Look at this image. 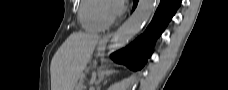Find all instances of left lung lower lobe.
Instances as JSON below:
<instances>
[{
	"label": "left lung lower lobe",
	"mask_w": 228,
	"mask_h": 90,
	"mask_svg": "<svg viewBox=\"0 0 228 90\" xmlns=\"http://www.w3.org/2000/svg\"><path fill=\"white\" fill-rule=\"evenodd\" d=\"M136 8L138 0H133ZM181 4V0H161L146 31L127 48L111 55L112 60L124 64L133 71L140 70L151 56L152 46L164 31Z\"/></svg>",
	"instance_id": "0a47b994"
}]
</instances>
